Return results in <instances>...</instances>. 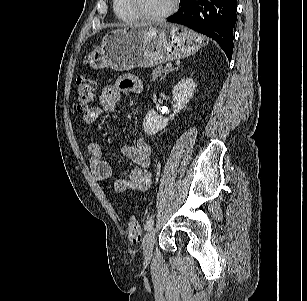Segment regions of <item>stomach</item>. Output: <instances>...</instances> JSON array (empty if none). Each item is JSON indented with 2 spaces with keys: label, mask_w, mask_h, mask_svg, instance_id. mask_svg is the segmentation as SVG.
<instances>
[{
  "label": "stomach",
  "mask_w": 307,
  "mask_h": 301,
  "mask_svg": "<svg viewBox=\"0 0 307 301\" xmlns=\"http://www.w3.org/2000/svg\"><path fill=\"white\" fill-rule=\"evenodd\" d=\"M205 44V37L181 25L140 24L108 33L85 62L94 69L148 68L190 56Z\"/></svg>",
  "instance_id": "obj_1"
}]
</instances>
